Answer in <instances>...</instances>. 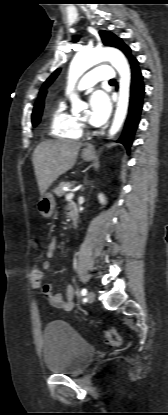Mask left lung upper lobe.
<instances>
[{
  "instance_id": "left-lung-upper-lobe-1",
  "label": "left lung upper lobe",
  "mask_w": 168,
  "mask_h": 415,
  "mask_svg": "<svg viewBox=\"0 0 168 415\" xmlns=\"http://www.w3.org/2000/svg\"><path fill=\"white\" fill-rule=\"evenodd\" d=\"M100 37L102 39V42L106 46L116 47L120 49L128 59L132 57L131 55V49L123 43V41L116 37L113 33L101 30L99 32ZM60 69L56 70L44 83L43 87L40 90V93L42 94L43 91L53 82V80L57 77L59 74Z\"/></svg>"
}]
</instances>
